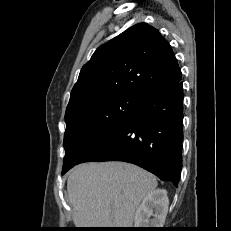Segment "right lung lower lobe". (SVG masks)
<instances>
[{"label":"right lung lower lobe","mask_w":231,"mask_h":231,"mask_svg":"<svg viewBox=\"0 0 231 231\" xmlns=\"http://www.w3.org/2000/svg\"><path fill=\"white\" fill-rule=\"evenodd\" d=\"M182 120V82L144 92L138 97L136 112L77 164L129 162L177 186L182 167Z\"/></svg>","instance_id":"98d812e1"}]
</instances>
